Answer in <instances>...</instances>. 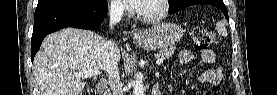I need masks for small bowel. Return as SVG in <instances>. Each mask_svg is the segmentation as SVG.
<instances>
[{"instance_id": "c3829d8e", "label": "small bowel", "mask_w": 277, "mask_h": 95, "mask_svg": "<svg viewBox=\"0 0 277 95\" xmlns=\"http://www.w3.org/2000/svg\"><path fill=\"white\" fill-rule=\"evenodd\" d=\"M201 60L207 65H213L215 63L216 57L212 50H205L198 54ZM194 54L190 51H181L178 55V63L180 65H185L191 60H193ZM223 75V71L220 67H213L206 71L202 76L201 80L208 83H218Z\"/></svg>"}]
</instances>
